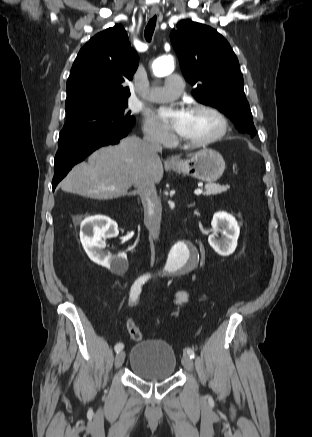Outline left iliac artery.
I'll return each mask as SVG.
<instances>
[{
    "label": "left iliac artery",
    "mask_w": 312,
    "mask_h": 437,
    "mask_svg": "<svg viewBox=\"0 0 312 437\" xmlns=\"http://www.w3.org/2000/svg\"><path fill=\"white\" fill-rule=\"evenodd\" d=\"M185 351H186V353L189 355V357H190L191 359H194V358H195V352H194L193 349H191V348H187Z\"/></svg>",
    "instance_id": "44dca946"
}]
</instances>
